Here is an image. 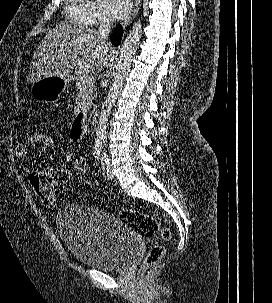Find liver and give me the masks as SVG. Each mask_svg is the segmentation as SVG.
<instances>
[{
    "label": "liver",
    "mask_w": 272,
    "mask_h": 303,
    "mask_svg": "<svg viewBox=\"0 0 272 303\" xmlns=\"http://www.w3.org/2000/svg\"><path fill=\"white\" fill-rule=\"evenodd\" d=\"M112 49L98 31L85 25L62 23L50 30L38 46L28 80L64 77L73 68L79 74H95L107 63Z\"/></svg>",
    "instance_id": "obj_1"
}]
</instances>
